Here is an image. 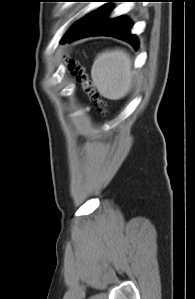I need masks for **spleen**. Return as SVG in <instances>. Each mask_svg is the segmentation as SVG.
I'll list each match as a JSON object with an SVG mask.
<instances>
[{"instance_id": "spleen-1", "label": "spleen", "mask_w": 195, "mask_h": 299, "mask_svg": "<svg viewBox=\"0 0 195 299\" xmlns=\"http://www.w3.org/2000/svg\"><path fill=\"white\" fill-rule=\"evenodd\" d=\"M135 72L130 55L121 49L107 50L97 55L91 77L100 94L118 100L132 89Z\"/></svg>"}]
</instances>
